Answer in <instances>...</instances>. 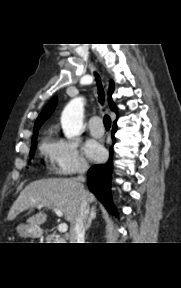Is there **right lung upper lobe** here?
Listing matches in <instances>:
<instances>
[{
    "mask_svg": "<svg viewBox=\"0 0 181 288\" xmlns=\"http://www.w3.org/2000/svg\"><path fill=\"white\" fill-rule=\"evenodd\" d=\"M113 90H114V83H113V81H111L110 86H109V91H108L109 104H110V108L117 113V108L111 99V94H112ZM56 102H57V97H53L48 102L46 107L42 110L40 115L38 116V118L35 122V126H34V135H33L32 141H35L37 139L38 130H39L41 124H43L44 121L52 114V112L54 111V108L56 106ZM114 123H116V122H114Z\"/></svg>",
    "mask_w": 181,
    "mask_h": 288,
    "instance_id": "right-lung-upper-lobe-1",
    "label": "right lung upper lobe"
}]
</instances>
